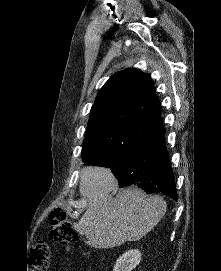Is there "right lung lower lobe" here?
<instances>
[{
	"label": "right lung lower lobe",
	"mask_w": 221,
	"mask_h": 271,
	"mask_svg": "<svg viewBox=\"0 0 221 271\" xmlns=\"http://www.w3.org/2000/svg\"><path fill=\"white\" fill-rule=\"evenodd\" d=\"M164 134L163 122H158L127 156L108 167L120 187L137 186L147 193H163L177 200Z\"/></svg>",
	"instance_id": "1"
}]
</instances>
